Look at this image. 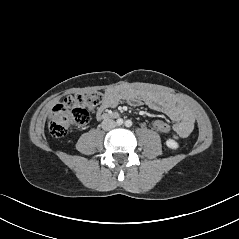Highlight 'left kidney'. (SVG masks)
<instances>
[{"instance_id":"5707ae66","label":"left kidney","mask_w":239,"mask_h":239,"mask_svg":"<svg viewBox=\"0 0 239 239\" xmlns=\"http://www.w3.org/2000/svg\"><path fill=\"white\" fill-rule=\"evenodd\" d=\"M166 145H167V147H169L170 149H174V150L179 147L178 143H177L175 140H173V139H168V140L166 141Z\"/></svg>"}]
</instances>
